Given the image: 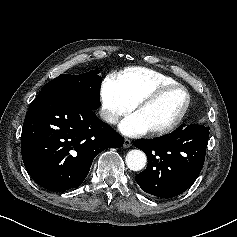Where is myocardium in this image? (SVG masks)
<instances>
[{"instance_id": "1", "label": "myocardium", "mask_w": 237, "mask_h": 237, "mask_svg": "<svg viewBox=\"0 0 237 237\" xmlns=\"http://www.w3.org/2000/svg\"><path fill=\"white\" fill-rule=\"evenodd\" d=\"M182 90L184 91L186 95V101L181 109V111L178 113V115L166 126L156 129L148 130V134L152 136H161L168 134L172 132L183 120L184 116L186 115L190 104H191V95L186 87H184L181 84L175 83V84H167L157 87L155 90L147 94L146 96L142 97L137 103L134 104V110L138 111L144 106L156 101L158 98H160L163 94L166 92L172 91V90Z\"/></svg>"}]
</instances>
